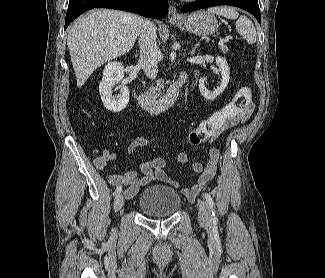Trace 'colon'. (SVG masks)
I'll use <instances>...</instances> for the list:
<instances>
[{
	"instance_id": "colon-1",
	"label": "colon",
	"mask_w": 325,
	"mask_h": 278,
	"mask_svg": "<svg viewBox=\"0 0 325 278\" xmlns=\"http://www.w3.org/2000/svg\"><path fill=\"white\" fill-rule=\"evenodd\" d=\"M250 107L251 92L249 88L242 87L228 104L213 112L194 128L187 141L191 144H199L210 139L216 132Z\"/></svg>"
}]
</instances>
